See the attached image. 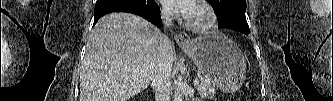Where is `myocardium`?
Returning <instances> with one entry per match:
<instances>
[{
  "instance_id": "myocardium-1",
  "label": "myocardium",
  "mask_w": 333,
  "mask_h": 101,
  "mask_svg": "<svg viewBox=\"0 0 333 101\" xmlns=\"http://www.w3.org/2000/svg\"><path fill=\"white\" fill-rule=\"evenodd\" d=\"M195 7L201 9L206 18L203 22H194L187 18L186 27L196 32H205L212 29L217 22V15L214 9L205 1H197Z\"/></svg>"
}]
</instances>
